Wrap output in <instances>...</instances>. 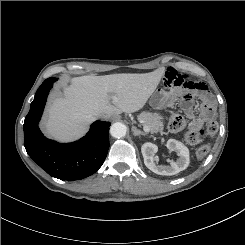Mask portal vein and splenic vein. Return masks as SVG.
I'll return each mask as SVG.
<instances>
[{"mask_svg":"<svg viewBox=\"0 0 245 245\" xmlns=\"http://www.w3.org/2000/svg\"><path fill=\"white\" fill-rule=\"evenodd\" d=\"M141 123H143L141 120H140ZM143 130L146 132V133H149L150 132V129L147 125H144L143 124Z\"/></svg>","mask_w":245,"mask_h":245,"instance_id":"18ae733b","label":"portal vein and splenic vein"}]
</instances>
